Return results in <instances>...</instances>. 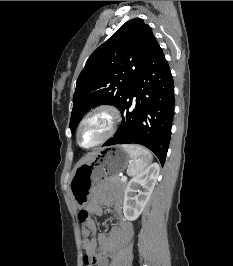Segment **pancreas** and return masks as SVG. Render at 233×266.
I'll list each match as a JSON object with an SVG mask.
<instances>
[{
  "label": "pancreas",
  "mask_w": 233,
  "mask_h": 266,
  "mask_svg": "<svg viewBox=\"0 0 233 266\" xmlns=\"http://www.w3.org/2000/svg\"><path fill=\"white\" fill-rule=\"evenodd\" d=\"M110 180L119 185L120 187L124 188L126 186V182L121 181L120 177L118 175H114L110 178Z\"/></svg>",
  "instance_id": "pancreas-1"
}]
</instances>
